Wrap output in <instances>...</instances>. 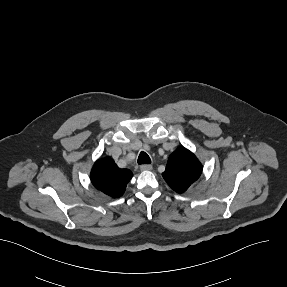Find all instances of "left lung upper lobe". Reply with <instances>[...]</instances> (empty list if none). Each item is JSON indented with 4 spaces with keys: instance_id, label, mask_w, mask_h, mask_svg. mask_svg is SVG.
Wrapping results in <instances>:
<instances>
[{
    "instance_id": "1",
    "label": "left lung upper lobe",
    "mask_w": 287,
    "mask_h": 287,
    "mask_svg": "<svg viewBox=\"0 0 287 287\" xmlns=\"http://www.w3.org/2000/svg\"><path fill=\"white\" fill-rule=\"evenodd\" d=\"M201 172L202 165L196 156L180 147L170 155L162 176L174 191L182 193L199 178Z\"/></svg>"
}]
</instances>
